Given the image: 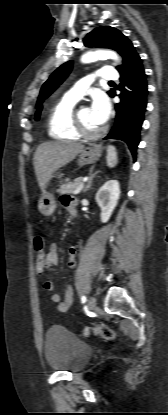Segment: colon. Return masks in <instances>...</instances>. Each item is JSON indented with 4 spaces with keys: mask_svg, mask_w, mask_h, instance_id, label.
<instances>
[{
    "mask_svg": "<svg viewBox=\"0 0 168 415\" xmlns=\"http://www.w3.org/2000/svg\"><path fill=\"white\" fill-rule=\"evenodd\" d=\"M34 249L36 250V258L34 259V267L32 268V273L36 278H41L44 272L47 270V253L45 248V242L43 237L37 236L33 241ZM100 336L101 338L113 341L116 338V332L111 327H108L103 324H96L90 327H86L82 335L88 337L90 335Z\"/></svg>",
    "mask_w": 168,
    "mask_h": 415,
    "instance_id": "5ec220e1",
    "label": "colon"
}]
</instances>
